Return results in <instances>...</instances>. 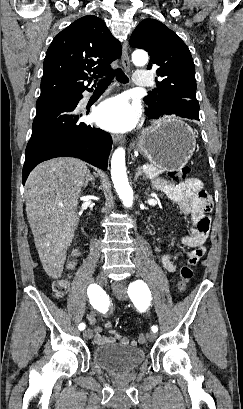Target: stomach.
<instances>
[{"label": "stomach", "mask_w": 243, "mask_h": 409, "mask_svg": "<svg viewBox=\"0 0 243 409\" xmlns=\"http://www.w3.org/2000/svg\"><path fill=\"white\" fill-rule=\"evenodd\" d=\"M196 147L192 128L175 117H166L142 131L136 150L165 171L182 168Z\"/></svg>", "instance_id": "1"}]
</instances>
